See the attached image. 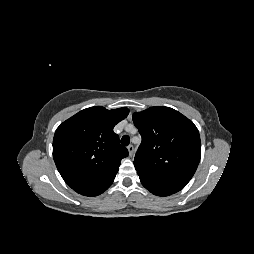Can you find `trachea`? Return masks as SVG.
Wrapping results in <instances>:
<instances>
[{
	"label": "trachea",
	"mask_w": 254,
	"mask_h": 254,
	"mask_svg": "<svg viewBox=\"0 0 254 254\" xmlns=\"http://www.w3.org/2000/svg\"><path fill=\"white\" fill-rule=\"evenodd\" d=\"M130 143V137L128 135H124L122 138H121V144L123 146H128Z\"/></svg>",
	"instance_id": "1"
}]
</instances>
